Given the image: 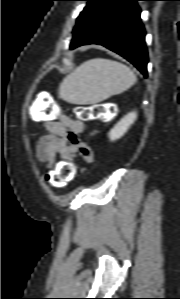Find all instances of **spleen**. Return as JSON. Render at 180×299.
I'll return each mask as SVG.
<instances>
[{
	"instance_id": "3e777b00",
	"label": "spleen",
	"mask_w": 180,
	"mask_h": 299,
	"mask_svg": "<svg viewBox=\"0 0 180 299\" xmlns=\"http://www.w3.org/2000/svg\"><path fill=\"white\" fill-rule=\"evenodd\" d=\"M135 82L136 75L128 66L95 58L82 63L63 79L59 96L71 104H95L126 91Z\"/></svg>"
}]
</instances>
